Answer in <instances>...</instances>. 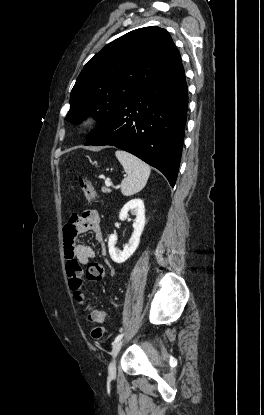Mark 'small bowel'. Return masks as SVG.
Masks as SVG:
<instances>
[{"label": "small bowel", "mask_w": 264, "mask_h": 415, "mask_svg": "<svg viewBox=\"0 0 264 415\" xmlns=\"http://www.w3.org/2000/svg\"><path fill=\"white\" fill-rule=\"evenodd\" d=\"M99 220L100 215L96 210L86 211L82 216H70L69 222L64 229V257L67 262L76 261L79 265L83 266L95 257V250L93 247L76 240L77 235L84 234L88 231L94 233L95 240L99 244L101 255L105 256L107 254V248Z\"/></svg>", "instance_id": "c3829d8e"}]
</instances>
